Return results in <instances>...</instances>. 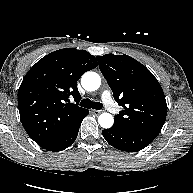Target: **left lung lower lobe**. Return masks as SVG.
<instances>
[{
    "label": "left lung lower lobe",
    "instance_id": "0a47b994",
    "mask_svg": "<svg viewBox=\"0 0 193 193\" xmlns=\"http://www.w3.org/2000/svg\"><path fill=\"white\" fill-rule=\"evenodd\" d=\"M102 134L114 148L136 152L148 146L157 137L159 131L126 132L112 126L103 130Z\"/></svg>",
    "mask_w": 193,
    "mask_h": 193
}]
</instances>
